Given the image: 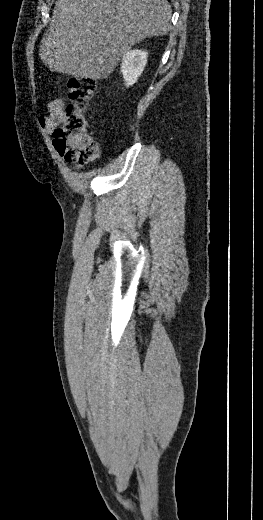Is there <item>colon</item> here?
<instances>
[{"label":"colon","mask_w":263,"mask_h":520,"mask_svg":"<svg viewBox=\"0 0 263 520\" xmlns=\"http://www.w3.org/2000/svg\"><path fill=\"white\" fill-rule=\"evenodd\" d=\"M96 91L91 78H71L68 81L70 102L64 109V119L54 132L57 152L69 162L85 163L98 155V145L87 131L86 110Z\"/></svg>","instance_id":"obj_1"}]
</instances>
